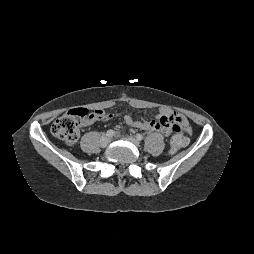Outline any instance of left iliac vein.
<instances>
[{
  "label": "left iliac vein",
  "instance_id": "left-iliac-vein-1",
  "mask_svg": "<svg viewBox=\"0 0 254 254\" xmlns=\"http://www.w3.org/2000/svg\"><path fill=\"white\" fill-rule=\"evenodd\" d=\"M124 139L133 143L135 146H139V141L132 136H127Z\"/></svg>",
  "mask_w": 254,
  "mask_h": 254
}]
</instances>
